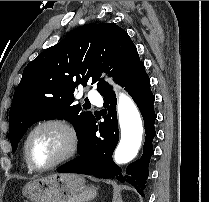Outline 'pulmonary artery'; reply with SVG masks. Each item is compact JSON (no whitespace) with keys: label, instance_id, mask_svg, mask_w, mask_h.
Here are the masks:
<instances>
[{"label":"pulmonary artery","instance_id":"e3ab8cb5","mask_svg":"<svg viewBox=\"0 0 209 202\" xmlns=\"http://www.w3.org/2000/svg\"><path fill=\"white\" fill-rule=\"evenodd\" d=\"M88 97H89V100L91 102V104L97 106V107H101L102 105V98L101 96L94 90H90L88 92Z\"/></svg>","mask_w":209,"mask_h":202}]
</instances>
